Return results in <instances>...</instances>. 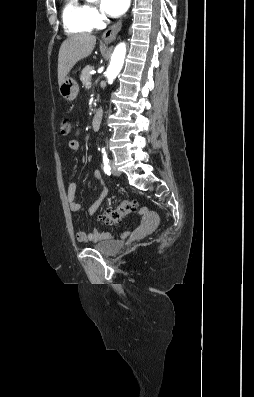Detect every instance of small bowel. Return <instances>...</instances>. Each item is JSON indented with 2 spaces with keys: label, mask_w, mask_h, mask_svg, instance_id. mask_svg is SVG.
I'll return each mask as SVG.
<instances>
[{
  "label": "small bowel",
  "mask_w": 254,
  "mask_h": 397,
  "mask_svg": "<svg viewBox=\"0 0 254 397\" xmlns=\"http://www.w3.org/2000/svg\"><path fill=\"white\" fill-rule=\"evenodd\" d=\"M68 146L71 150L76 151L79 149V141L77 139H72L69 141ZM93 177L100 182L101 192L97 200L86 209L87 213L90 215L94 214L100 208L108 195V189L101 180V172L99 170H94ZM66 196L72 212L77 213L82 210V205L76 200L75 183L72 182L68 185ZM141 214L144 216L146 223H148L152 217L151 213L147 209H143ZM75 237L79 242H99L110 239L111 234L94 229L92 232L78 231L76 232Z\"/></svg>",
  "instance_id": "obj_1"
}]
</instances>
